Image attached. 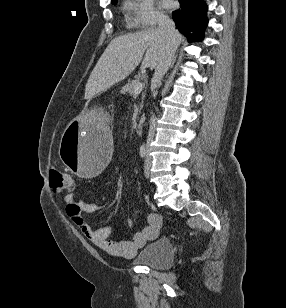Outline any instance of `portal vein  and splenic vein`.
Wrapping results in <instances>:
<instances>
[{"mask_svg": "<svg viewBox=\"0 0 286 308\" xmlns=\"http://www.w3.org/2000/svg\"><path fill=\"white\" fill-rule=\"evenodd\" d=\"M143 87L144 85L141 82L137 83L134 87V94L138 95L143 90Z\"/></svg>", "mask_w": 286, "mask_h": 308, "instance_id": "portal-vein-and-splenic-vein-1", "label": "portal vein and splenic vein"}]
</instances>
